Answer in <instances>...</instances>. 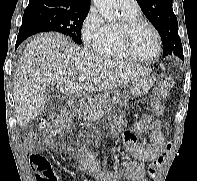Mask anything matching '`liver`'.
Here are the masks:
<instances>
[{
	"instance_id": "6515ba94",
	"label": "liver",
	"mask_w": 197,
	"mask_h": 181,
	"mask_svg": "<svg viewBox=\"0 0 197 181\" xmlns=\"http://www.w3.org/2000/svg\"><path fill=\"white\" fill-rule=\"evenodd\" d=\"M146 72L151 70L69 45L60 33L38 35L27 44L16 70L13 97L17 123L26 127L44 110L50 86L56 85L66 95H85L116 89ZM76 75L90 78L78 84Z\"/></svg>"
}]
</instances>
